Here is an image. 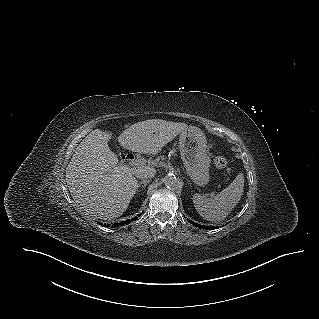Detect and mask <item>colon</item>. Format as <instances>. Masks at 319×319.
<instances>
[{
	"label": "colon",
	"instance_id": "5ec220e1",
	"mask_svg": "<svg viewBox=\"0 0 319 319\" xmlns=\"http://www.w3.org/2000/svg\"><path fill=\"white\" fill-rule=\"evenodd\" d=\"M119 136V131L116 128H108L105 131V138L109 141V142H114L117 137ZM216 165L219 167H222L225 165V160L222 157H218L215 161Z\"/></svg>",
	"mask_w": 319,
	"mask_h": 319
}]
</instances>
